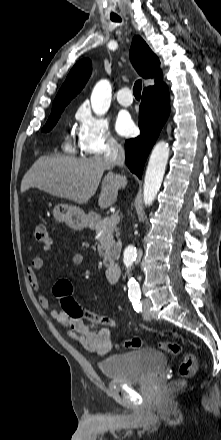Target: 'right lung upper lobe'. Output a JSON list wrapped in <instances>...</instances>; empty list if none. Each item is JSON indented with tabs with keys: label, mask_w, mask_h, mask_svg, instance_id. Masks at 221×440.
I'll list each match as a JSON object with an SVG mask.
<instances>
[{
	"label": "right lung upper lobe",
	"mask_w": 221,
	"mask_h": 440,
	"mask_svg": "<svg viewBox=\"0 0 221 440\" xmlns=\"http://www.w3.org/2000/svg\"><path fill=\"white\" fill-rule=\"evenodd\" d=\"M130 59L134 68L143 78L157 77L155 86L153 87L161 84L160 62L140 36H135L132 40ZM91 71L92 65L89 59L78 61L60 88L53 102L52 109L61 106L65 107L85 86L91 75ZM153 87H148L144 90Z\"/></svg>",
	"instance_id": "right-lung-upper-lobe-1"
}]
</instances>
